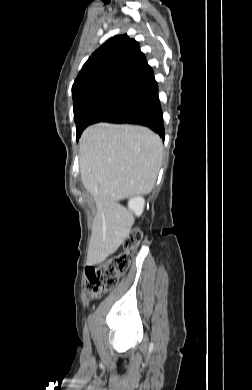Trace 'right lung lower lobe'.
I'll return each mask as SVG.
<instances>
[{
  "label": "right lung lower lobe",
  "instance_id": "1",
  "mask_svg": "<svg viewBox=\"0 0 252 390\" xmlns=\"http://www.w3.org/2000/svg\"><path fill=\"white\" fill-rule=\"evenodd\" d=\"M104 122L143 125L158 133L164 140L165 132L158 88Z\"/></svg>",
  "mask_w": 252,
  "mask_h": 390
}]
</instances>
